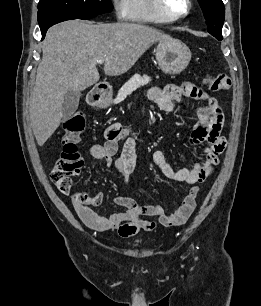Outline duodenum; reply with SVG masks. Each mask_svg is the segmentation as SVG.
<instances>
[{"label": "duodenum", "mask_w": 261, "mask_h": 306, "mask_svg": "<svg viewBox=\"0 0 261 306\" xmlns=\"http://www.w3.org/2000/svg\"><path fill=\"white\" fill-rule=\"evenodd\" d=\"M111 88L107 84H98L95 86L89 96V102L93 106H100L109 97Z\"/></svg>", "instance_id": "obj_1"}]
</instances>
